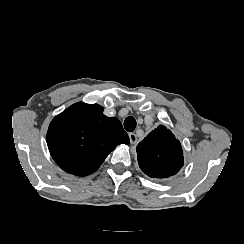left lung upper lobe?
Listing matches in <instances>:
<instances>
[{"instance_id": "1", "label": "left lung upper lobe", "mask_w": 244, "mask_h": 244, "mask_svg": "<svg viewBox=\"0 0 244 244\" xmlns=\"http://www.w3.org/2000/svg\"><path fill=\"white\" fill-rule=\"evenodd\" d=\"M139 167L152 178L175 175L183 166V150L178 139L165 126L149 133L136 148Z\"/></svg>"}]
</instances>
